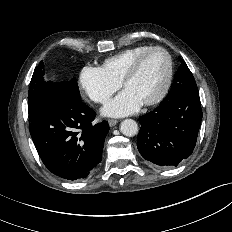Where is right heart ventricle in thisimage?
<instances>
[{
    "instance_id": "right-heart-ventricle-1",
    "label": "right heart ventricle",
    "mask_w": 232,
    "mask_h": 232,
    "mask_svg": "<svg viewBox=\"0 0 232 232\" xmlns=\"http://www.w3.org/2000/svg\"><path fill=\"white\" fill-rule=\"evenodd\" d=\"M151 46L138 45L121 51L103 61L102 69L115 82L120 83L132 61Z\"/></svg>"
}]
</instances>
